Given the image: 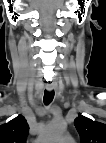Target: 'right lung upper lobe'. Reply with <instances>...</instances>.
<instances>
[{
	"label": "right lung upper lobe",
	"instance_id": "right-lung-upper-lobe-1",
	"mask_svg": "<svg viewBox=\"0 0 106 143\" xmlns=\"http://www.w3.org/2000/svg\"><path fill=\"white\" fill-rule=\"evenodd\" d=\"M28 130L26 119L19 115L0 126V143H26Z\"/></svg>",
	"mask_w": 106,
	"mask_h": 143
}]
</instances>
